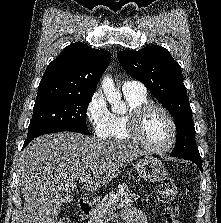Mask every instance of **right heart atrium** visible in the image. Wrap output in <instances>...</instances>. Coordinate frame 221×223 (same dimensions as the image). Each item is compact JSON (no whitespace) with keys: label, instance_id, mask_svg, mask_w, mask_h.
<instances>
[{"label":"right heart atrium","instance_id":"d8ad5b80","mask_svg":"<svg viewBox=\"0 0 221 223\" xmlns=\"http://www.w3.org/2000/svg\"><path fill=\"white\" fill-rule=\"evenodd\" d=\"M85 116L95 137L107 138L110 135L111 113L104 96L100 92H95L89 99Z\"/></svg>","mask_w":221,"mask_h":223}]
</instances>
